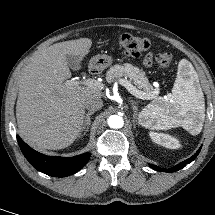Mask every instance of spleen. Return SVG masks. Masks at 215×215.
Masks as SVG:
<instances>
[{
	"mask_svg": "<svg viewBox=\"0 0 215 215\" xmlns=\"http://www.w3.org/2000/svg\"><path fill=\"white\" fill-rule=\"evenodd\" d=\"M197 79L191 63L182 59L170 100L159 97L152 101L140 112V120L152 130L181 126L192 135L199 134L205 119V103Z\"/></svg>",
	"mask_w": 215,
	"mask_h": 215,
	"instance_id": "3e777b00",
	"label": "spleen"
}]
</instances>
